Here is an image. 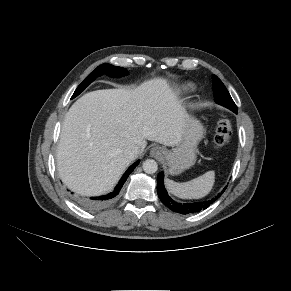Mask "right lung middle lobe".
I'll use <instances>...</instances> for the list:
<instances>
[{
	"label": "right lung middle lobe",
	"mask_w": 291,
	"mask_h": 291,
	"mask_svg": "<svg viewBox=\"0 0 291 291\" xmlns=\"http://www.w3.org/2000/svg\"><path fill=\"white\" fill-rule=\"evenodd\" d=\"M106 73L113 77H121L125 75L127 72L122 67H116L111 64H103L98 66L93 72H91L84 81L78 86V88L75 90L74 94L72 95V98L79 95L97 76Z\"/></svg>",
	"instance_id": "dd1d6c3e"
}]
</instances>
